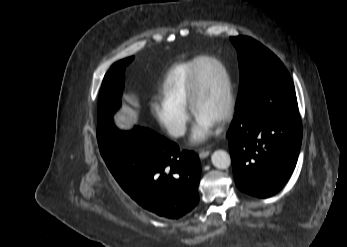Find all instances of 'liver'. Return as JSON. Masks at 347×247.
<instances>
[{
    "instance_id": "1",
    "label": "liver",
    "mask_w": 347,
    "mask_h": 247,
    "mask_svg": "<svg viewBox=\"0 0 347 247\" xmlns=\"http://www.w3.org/2000/svg\"><path fill=\"white\" fill-rule=\"evenodd\" d=\"M128 99L131 103L136 104L133 98L129 97ZM114 119L121 129H129L132 122L138 120V115L137 113L125 108L122 111L117 112Z\"/></svg>"
}]
</instances>
